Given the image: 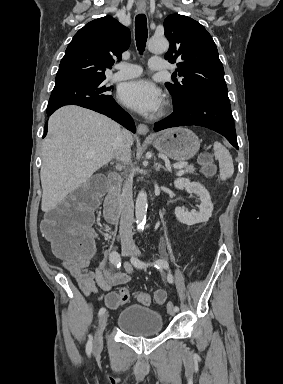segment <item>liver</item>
<instances>
[{"label":"liver","instance_id":"6515ba94","mask_svg":"<svg viewBox=\"0 0 283 384\" xmlns=\"http://www.w3.org/2000/svg\"><path fill=\"white\" fill-rule=\"evenodd\" d=\"M120 132L119 124L110 118L79 106H64L50 116L48 136L42 144V212L56 208L113 160V144ZM129 144H133L132 136Z\"/></svg>","mask_w":283,"mask_h":384}]
</instances>
